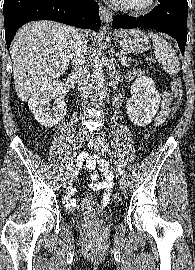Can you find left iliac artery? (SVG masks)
Returning <instances> with one entry per match:
<instances>
[{"mask_svg":"<svg viewBox=\"0 0 195 270\" xmlns=\"http://www.w3.org/2000/svg\"><path fill=\"white\" fill-rule=\"evenodd\" d=\"M102 141H103V143H104V139H102ZM104 150L111 154V150L109 149V147H108L107 144L104 145ZM115 164H116V166H117L118 172H119L120 175H122V177H123V171H122V169H121V166L118 164V162H117L116 160H115Z\"/></svg>","mask_w":195,"mask_h":270,"instance_id":"obj_1","label":"left iliac artery"}]
</instances>
